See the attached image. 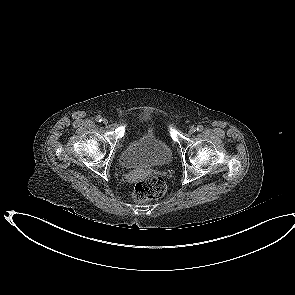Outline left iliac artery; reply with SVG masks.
<instances>
[{
    "instance_id": "obj_1",
    "label": "left iliac artery",
    "mask_w": 295,
    "mask_h": 295,
    "mask_svg": "<svg viewBox=\"0 0 295 295\" xmlns=\"http://www.w3.org/2000/svg\"><path fill=\"white\" fill-rule=\"evenodd\" d=\"M203 130V126L202 125H198L197 126V131H202Z\"/></svg>"
}]
</instances>
